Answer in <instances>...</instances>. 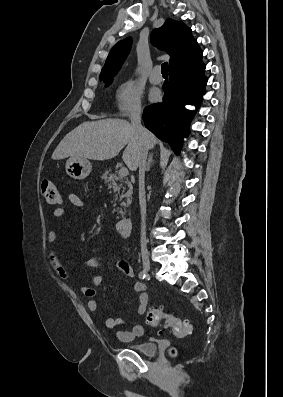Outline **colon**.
Wrapping results in <instances>:
<instances>
[{
  "label": "colon",
  "mask_w": 283,
  "mask_h": 397,
  "mask_svg": "<svg viewBox=\"0 0 283 397\" xmlns=\"http://www.w3.org/2000/svg\"><path fill=\"white\" fill-rule=\"evenodd\" d=\"M41 193L50 205H57L61 202V197L55 184L48 179H44L41 182ZM146 321L152 329L160 330L164 326L179 337L187 336L192 331V325L189 321L177 318L171 312L160 307L150 308L146 315ZM175 353L174 349L170 350L171 356H174Z\"/></svg>",
  "instance_id": "colon-1"
}]
</instances>
